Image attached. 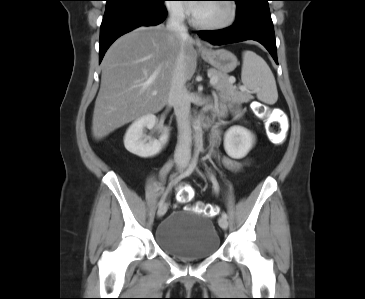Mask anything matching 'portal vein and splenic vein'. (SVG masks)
I'll return each instance as SVG.
<instances>
[{"instance_id":"1","label":"portal vein and splenic vein","mask_w":365,"mask_h":299,"mask_svg":"<svg viewBox=\"0 0 365 299\" xmlns=\"http://www.w3.org/2000/svg\"><path fill=\"white\" fill-rule=\"evenodd\" d=\"M217 82H218L217 77L212 76L210 78V85H215ZM156 94H157L156 92H153V95H156Z\"/></svg>"}]
</instances>
